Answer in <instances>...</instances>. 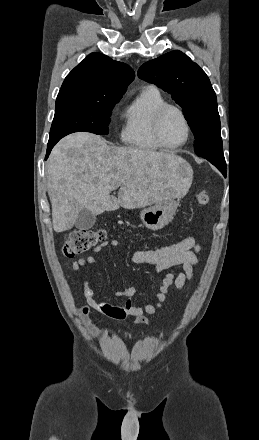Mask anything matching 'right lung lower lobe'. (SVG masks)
Instances as JSON below:
<instances>
[{
    "mask_svg": "<svg viewBox=\"0 0 259 440\" xmlns=\"http://www.w3.org/2000/svg\"><path fill=\"white\" fill-rule=\"evenodd\" d=\"M58 141H59V140H54V141H49V142H48V146H47V154H46V158H45V159L48 158V156H49V154H50V152H51L53 146H54Z\"/></svg>",
    "mask_w": 259,
    "mask_h": 440,
    "instance_id": "obj_1",
    "label": "right lung lower lobe"
}]
</instances>
